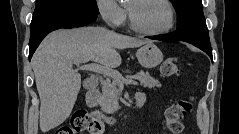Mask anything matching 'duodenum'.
Returning <instances> with one entry per match:
<instances>
[{"mask_svg": "<svg viewBox=\"0 0 239 134\" xmlns=\"http://www.w3.org/2000/svg\"><path fill=\"white\" fill-rule=\"evenodd\" d=\"M99 91L96 88H92L90 90H88L87 94H86V101H87V105L93 109L92 115L98 119H102V116L100 114V112L98 110H96L97 106H98V101H99ZM145 101V98L141 95V94H137L135 96V100H134V109H138L140 108L143 103ZM126 119L123 118L122 120ZM120 120L114 119V118H110L107 120V123L110 125H114L119 123Z\"/></svg>", "mask_w": 239, "mask_h": 134, "instance_id": "1", "label": "duodenum"}]
</instances>
